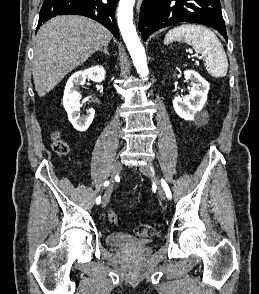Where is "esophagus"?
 <instances>
[{"label":"esophagus","instance_id":"34e87169","mask_svg":"<svg viewBox=\"0 0 259 294\" xmlns=\"http://www.w3.org/2000/svg\"><path fill=\"white\" fill-rule=\"evenodd\" d=\"M141 3H142V0H138V1H137V10L140 9Z\"/></svg>","mask_w":259,"mask_h":294}]
</instances>
